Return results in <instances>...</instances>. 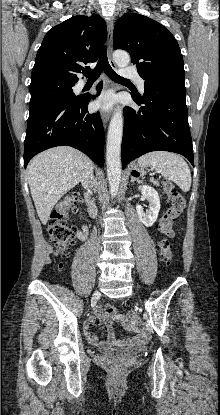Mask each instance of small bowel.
I'll list each match as a JSON object with an SVG mask.
<instances>
[{
	"mask_svg": "<svg viewBox=\"0 0 220 415\" xmlns=\"http://www.w3.org/2000/svg\"><path fill=\"white\" fill-rule=\"evenodd\" d=\"M87 236H88V229L84 225L78 231V237L81 240H85L87 238ZM105 317L108 318L109 320H112L111 318L105 316L102 313V311H98L94 316H91L86 320L85 326H84V335H85L87 341L91 345L97 346L100 349H102L103 351L109 350L111 345H119V346L128 345L129 344L128 341L116 339L112 334H110V336L108 337V339L106 341H100L99 338L94 334V332L91 329L92 325L95 324L97 319L105 318ZM108 326H109V330L111 332V330H112L111 324L109 323ZM137 341L138 340H135V342H137Z\"/></svg>",
	"mask_w": 220,
	"mask_h": 415,
	"instance_id": "c3829d8e",
	"label": "small bowel"
}]
</instances>
